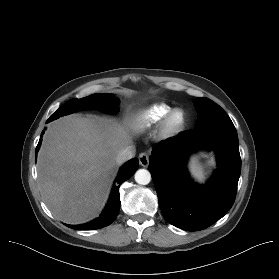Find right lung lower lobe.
<instances>
[{"label": "right lung lower lobe", "instance_id": "1", "mask_svg": "<svg viewBox=\"0 0 279 279\" xmlns=\"http://www.w3.org/2000/svg\"><path fill=\"white\" fill-rule=\"evenodd\" d=\"M43 134L44 131L42 132L39 143L36 147V156L42 142ZM137 168H138L137 158H133L123 165L116 178V183L112 188V192L108 204L105 207L102 214L97 219L82 225H66V226L76 230H94V229H99L110 225L117 217L120 209L119 187L124 181L128 180L136 172Z\"/></svg>", "mask_w": 279, "mask_h": 279}]
</instances>
